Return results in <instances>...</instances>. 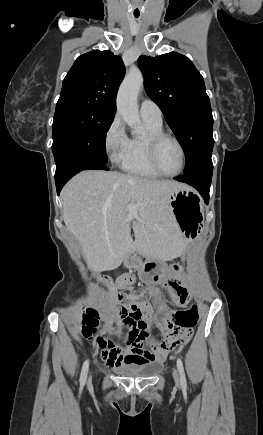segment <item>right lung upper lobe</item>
Instances as JSON below:
<instances>
[{
	"label": "right lung upper lobe",
	"mask_w": 263,
	"mask_h": 435,
	"mask_svg": "<svg viewBox=\"0 0 263 435\" xmlns=\"http://www.w3.org/2000/svg\"><path fill=\"white\" fill-rule=\"evenodd\" d=\"M124 74L122 59L109 50L83 54L64 78L56 107L80 104L115 113L116 95Z\"/></svg>",
	"instance_id": "obj_1"
}]
</instances>
